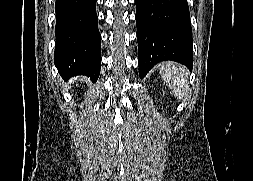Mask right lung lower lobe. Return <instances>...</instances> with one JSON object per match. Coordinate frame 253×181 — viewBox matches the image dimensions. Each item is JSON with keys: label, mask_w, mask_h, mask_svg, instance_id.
<instances>
[{"label": "right lung lower lobe", "mask_w": 253, "mask_h": 181, "mask_svg": "<svg viewBox=\"0 0 253 181\" xmlns=\"http://www.w3.org/2000/svg\"><path fill=\"white\" fill-rule=\"evenodd\" d=\"M96 0H56L55 65L68 79L87 75L95 82L100 73L101 36Z\"/></svg>", "instance_id": "obj_1"}]
</instances>
